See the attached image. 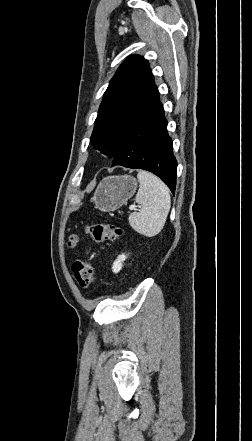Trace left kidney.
<instances>
[{
  "instance_id": "5707ae66",
  "label": "left kidney",
  "mask_w": 252,
  "mask_h": 441,
  "mask_svg": "<svg viewBox=\"0 0 252 441\" xmlns=\"http://www.w3.org/2000/svg\"><path fill=\"white\" fill-rule=\"evenodd\" d=\"M126 256L125 255H119L117 257V259L114 261L113 266H112V271L114 273H118L122 267H123V262L126 260Z\"/></svg>"
}]
</instances>
